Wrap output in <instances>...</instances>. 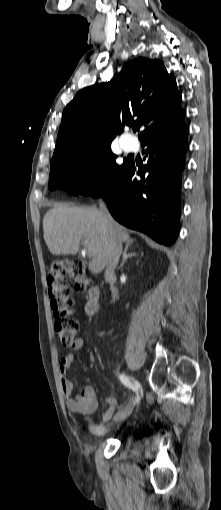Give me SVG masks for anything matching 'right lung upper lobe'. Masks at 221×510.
I'll use <instances>...</instances> for the list:
<instances>
[{"instance_id":"obj_1","label":"right lung upper lobe","mask_w":221,"mask_h":510,"mask_svg":"<svg viewBox=\"0 0 221 510\" xmlns=\"http://www.w3.org/2000/svg\"><path fill=\"white\" fill-rule=\"evenodd\" d=\"M176 81L158 60L128 62L110 82L80 90L62 114L51 163L68 152L111 145L125 125L143 127L139 139L184 121Z\"/></svg>"}]
</instances>
